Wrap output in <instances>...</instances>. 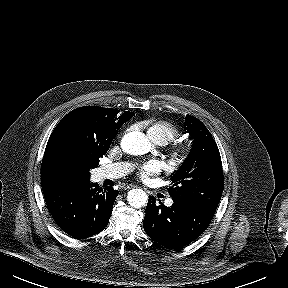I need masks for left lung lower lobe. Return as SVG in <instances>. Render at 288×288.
<instances>
[{"mask_svg":"<svg viewBox=\"0 0 288 288\" xmlns=\"http://www.w3.org/2000/svg\"><path fill=\"white\" fill-rule=\"evenodd\" d=\"M155 201V197L149 196L144 230L167 249H180L197 239L215 214V211L191 202L174 200L171 207H166Z\"/></svg>","mask_w":288,"mask_h":288,"instance_id":"0a47b994","label":"left lung lower lobe"}]
</instances>
